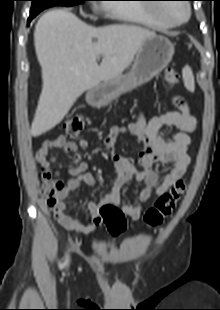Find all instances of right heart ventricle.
<instances>
[{"instance_id":"e07e8e85","label":"right heart ventricle","mask_w":220,"mask_h":310,"mask_svg":"<svg viewBox=\"0 0 220 310\" xmlns=\"http://www.w3.org/2000/svg\"><path fill=\"white\" fill-rule=\"evenodd\" d=\"M152 8L145 6H124V5H112L110 12L116 18L130 22L133 24L154 28L158 30L168 29L171 26L165 22L157 19L151 12Z\"/></svg>"}]
</instances>
